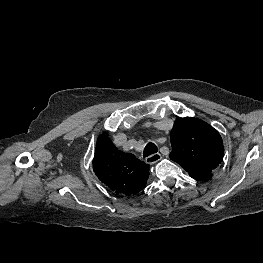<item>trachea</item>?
<instances>
[{"label": "trachea", "instance_id": "obj_1", "mask_svg": "<svg viewBox=\"0 0 263 263\" xmlns=\"http://www.w3.org/2000/svg\"><path fill=\"white\" fill-rule=\"evenodd\" d=\"M158 151L157 146L154 143L149 142L143 151V157H148Z\"/></svg>", "mask_w": 263, "mask_h": 263}]
</instances>
